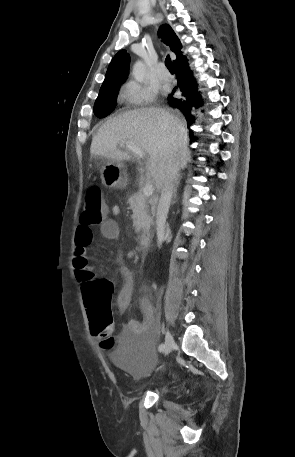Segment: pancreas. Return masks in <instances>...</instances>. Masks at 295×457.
Listing matches in <instances>:
<instances>
[{
    "label": "pancreas",
    "mask_w": 295,
    "mask_h": 457,
    "mask_svg": "<svg viewBox=\"0 0 295 457\" xmlns=\"http://www.w3.org/2000/svg\"><path fill=\"white\" fill-rule=\"evenodd\" d=\"M128 203L133 212L131 217L135 232H148L153 220L150 215L147 197L142 191H139L128 199Z\"/></svg>",
    "instance_id": "1"
}]
</instances>
